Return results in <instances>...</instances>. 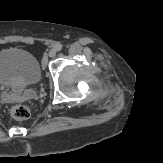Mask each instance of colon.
Listing matches in <instances>:
<instances>
[{
    "mask_svg": "<svg viewBox=\"0 0 163 163\" xmlns=\"http://www.w3.org/2000/svg\"><path fill=\"white\" fill-rule=\"evenodd\" d=\"M11 114L17 120H25L30 116V110L26 105L16 104L12 107Z\"/></svg>",
    "mask_w": 163,
    "mask_h": 163,
    "instance_id": "1",
    "label": "colon"
}]
</instances>
